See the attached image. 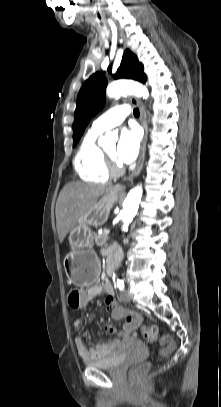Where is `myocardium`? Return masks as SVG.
I'll list each match as a JSON object with an SVG mask.
<instances>
[{
    "mask_svg": "<svg viewBox=\"0 0 221 407\" xmlns=\"http://www.w3.org/2000/svg\"><path fill=\"white\" fill-rule=\"evenodd\" d=\"M105 163L109 174L118 175L122 172V168L116 163V161L108 156L106 152H103Z\"/></svg>",
    "mask_w": 221,
    "mask_h": 407,
    "instance_id": "myocardium-1",
    "label": "myocardium"
}]
</instances>
